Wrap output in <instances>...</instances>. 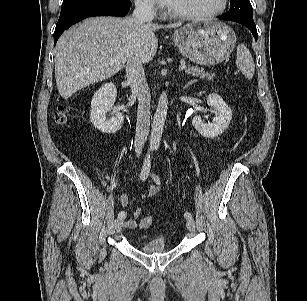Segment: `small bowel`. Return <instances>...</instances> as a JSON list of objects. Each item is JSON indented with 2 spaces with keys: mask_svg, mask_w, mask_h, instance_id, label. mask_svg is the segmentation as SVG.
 Returning <instances> with one entry per match:
<instances>
[{
  "mask_svg": "<svg viewBox=\"0 0 307 301\" xmlns=\"http://www.w3.org/2000/svg\"><path fill=\"white\" fill-rule=\"evenodd\" d=\"M148 177V176H147ZM150 179V184L148 189L144 192V194L142 195L143 197H148L151 198L153 196H155L156 194H158L161 190V182L158 176L155 175H151L149 176ZM119 203L122 206H128L130 203V199L129 196L126 194H122L119 197ZM141 208L137 207L134 212H133V219H128L125 221V227L129 228V229H134L136 227V221L135 219L138 218L141 215Z\"/></svg>",
  "mask_w": 307,
  "mask_h": 301,
  "instance_id": "c3829d8e",
  "label": "small bowel"
}]
</instances>
